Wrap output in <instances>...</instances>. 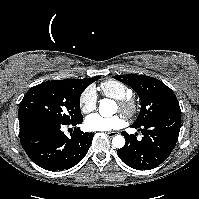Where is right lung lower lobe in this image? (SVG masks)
<instances>
[{"instance_id": "right-lung-lower-lobe-1", "label": "right lung lower lobe", "mask_w": 199, "mask_h": 199, "mask_svg": "<svg viewBox=\"0 0 199 199\" xmlns=\"http://www.w3.org/2000/svg\"><path fill=\"white\" fill-rule=\"evenodd\" d=\"M82 121L83 118L71 123L41 117L19 119L22 147L34 163L46 170L69 169L84 158L94 133H83L77 128L69 138L61 128L76 126Z\"/></svg>"}]
</instances>
